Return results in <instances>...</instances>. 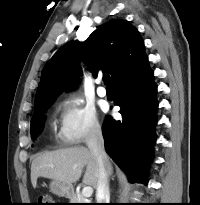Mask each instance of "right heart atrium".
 <instances>
[{
	"instance_id": "obj_1",
	"label": "right heart atrium",
	"mask_w": 200,
	"mask_h": 205,
	"mask_svg": "<svg viewBox=\"0 0 200 205\" xmlns=\"http://www.w3.org/2000/svg\"><path fill=\"white\" fill-rule=\"evenodd\" d=\"M101 133L96 113L78 98H67L59 105L57 139L64 145H78Z\"/></svg>"
}]
</instances>
